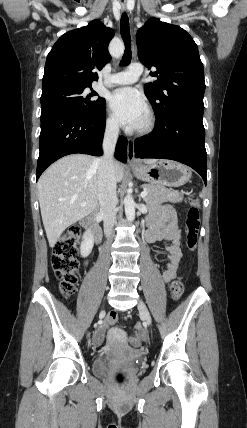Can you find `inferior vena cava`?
<instances>
[{
  "label": "inferior vena cava",
  "mask_w": 247,
  "mask_h": 428,
  "mask_svg": "<svg viewBox=\"0 0 247 428\" xmlns=\"http://www.w3.org/2000/svg\"><path fill=\"white\" fill-rule=\"evenodd\" d=\"M119 126L112 122L106 126L102 149L103 156L97 158L98 163V199L100 215L104 222V232L109 236L116 222V177L114 171V151L117 143Z\"/></svg>",
  "instance_id": "inferior-vena-cava-1"
}]
</instances>
